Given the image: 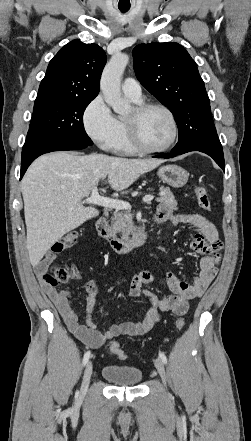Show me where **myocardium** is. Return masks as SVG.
<instances>
[{"mask_svg": "<svg viewBox=\"0 0 251 441\" xmlns=\"http://www.w3.org/2000/svg\"><path fill=\"white\" fill-rule=\"evenodd\" d=\"M151 109H159V110H162L163 112H165L167 114V116L169 117L171 124H172V128H173L172 137L169 140V142L162 147H150V146L146 145L140 135V132H139V126H138L139 119L147 111H149ZM133 111H134L133 116L130 118H126L125 124H126L129 139H130L132 145L138 151L144 152V153H162V152L169 150L175 144V142L177 141L178 135H179V126H178V122H177V119H176L174 113L167 106H165L161 103H155V102H142V103L137 104L133 108Z\"/></svg>", "mask_w": 251, "mask_h": 441, "instance_id": "obj_1", "label": "myocardium"}]
</instances>
